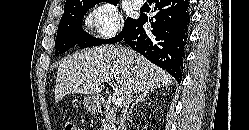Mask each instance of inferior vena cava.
Masks as SVG:
<instances>
[{"instance_id": "obj_1", "label": "inferior vena cava", "mask_w": 249, "mask_h": 130, "mask_svg": "<svg viewBox=\"0 0 249 130\" xmlns=\"http://www.w3.org/2000/svg\"><path fill=\"white\" fill-rule=\"evenodd\" d=\"M131 98H132V95H130L128 97V99L123 103L124 108L122 110V114H121V118H120V120H121V123H120L121 124V129H123L124 124H125V120L127 118V109L129 107V102H130Z\"/></svg>"}]
</instances>
